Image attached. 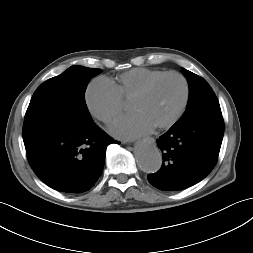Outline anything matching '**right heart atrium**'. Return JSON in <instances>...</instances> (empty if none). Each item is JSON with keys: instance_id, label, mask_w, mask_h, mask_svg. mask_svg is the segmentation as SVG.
<instances>
[{"instance_id": "right-heart-atrium-1", "label": "right heart atrium", "mask_w": 253, "mask_h": 253, "mask_svg": "<svg viewBox=\"0 0 253 253\" xmlns=\"http://www.w3.org/2000/svg\"><path fill=\"white\" fill-rule=\"evenodd\" d=\"M85 103L90 114L106 124L116 119L124 109V102L115 86L104 77L90 82L85 92Z\"/></svg>"}]
</instances>
